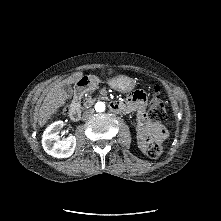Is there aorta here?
Segmentation results:
<instances>
[{
  "label": "aorta",
  "instance_id": "aorta-1",
  "mask_svg": "<svg viewBox=\"0 0 221 221\" xmlns=\"http://www.w3.org/2000/svg\"><path fill=\"white\" fill-rule=\"evenodd\" d=\"M95 110H96V112H104L105 111V103L97 102L95 104Z\"/></svg>",
  "mask_w": 221,
  "mask_h": 221
}]
</instances>
